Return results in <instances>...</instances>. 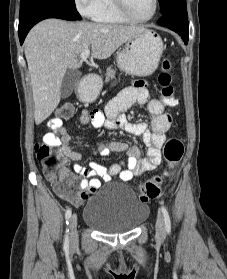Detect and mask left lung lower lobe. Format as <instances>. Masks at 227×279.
I'll return each mask as SVG.
<instances>
[{"mask_svg": "<svg viewBox=\"0 0 227 279\" xmlns=\"http://www.w3.org/2000/svg\"><path fill=\"white\" fill-rule=\"evenodd\" d=\"M159 25L165 26L178 33L185 44L188 43L189 24L187 9H174L165 14L157 21Z\"/></svg>", "mask_w": 227, "mask_h": 279, "instance_id": "0a47b994", "label": "left lung lower lobe"}]
</instances>
